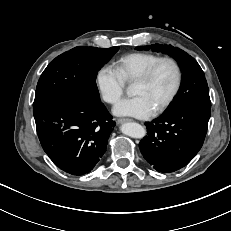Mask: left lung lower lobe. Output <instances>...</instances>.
Here are the masks:
<instances>
[{
    "instance_id": "1",
    "label": "left lung lower lobe",
    "mask_w": 231,
    "mask_h": 231,
    "mask_svg": "<svg viewBox=\"0 0 231 231\" xmlns=\"http://www.w3.org/2000/svg\"><path fill=\"white\" fill-rule=\"evenodd\" d=\"M210 115V109L185 106L146 122L147 135L139 144L143 157L162 173L186 166L203 145Z\"/></svg>"
}]
</instances>
